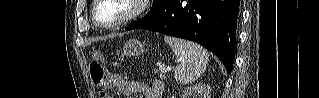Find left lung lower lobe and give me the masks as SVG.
Returning a JSON list of instances; mask_svg holds the SVG:
<instances>
[{
	"instance_id": "obj_1",
	"label": "left lung lower lobe",
	"mask_w": 319,
	"mask_h": 98,
	"mask_svg": "<svg viewBox=\"0 0 319 98\" xmlns=\"http://www.w3.org/2000/svg\"><path fill=\"white\" fill-rule=\"evenodd\" d=\"M239 0H165L163 14L146 29L195 41L219 57L228 74L235 58Z\"/></svg>"
}]
</instances>
